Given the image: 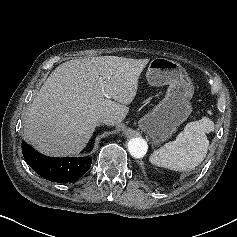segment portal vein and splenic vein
I'll list each match as a JSON object with an SVG mask.
<instances>
[{
  "label": "portal vein and splenic vein",
  "mask_w": 237,
  "mask_h": 237,
  "mask_svg": "<svg viewBox=\"0 0 237 237\" xmlns=\"http://www.w3.org/2000/svg\"><path fill=\"white\" fill-rule=\"evenodd\" d=\"M98 83H99L101 89L103 90L104 87H105V84H106V81H104V78L100 77V78L98 79Z\"/></svg>",
  "instance_id": "portal-vein-and-splenic-vein-1"
}]
</instances>
